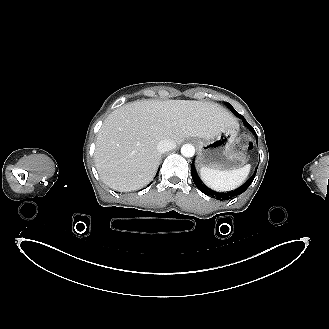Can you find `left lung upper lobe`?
Segmentation results:
<instances>
[{"instance_id":"obj_1","label":"left lung upper lobe","mask_w":329,"mask_h":329,"mask_svg":"<svg viewBox=\"0 0 329 329\" xmlns=\"http://www.w3.org/2000/svg\"><path fill=\"white\" fill-rule=\"evenodd\" d=\"M228 107L230 108V110L241 119V117H243L242 115H240L229 103H227Z\"/></svg>"}]
</instances>
